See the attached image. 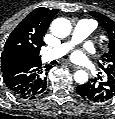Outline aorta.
<instances>
[{
  "label": "aorta",
  "instance_id": "obj_1",
  "mask_svg": "<svg viewBox=\"0 0 115 119\" xmlns=\"http://www.w3.org/2000/svg\"><path fill=\"white\" fill-rule=\"evenodd\" d=\"M51 32L53 35L64 38L71 32V25L68 20L64 18H58L51 24ZM74 79L79 84H85L88 81V74L85 71H77L74 74Z\"/></svg>",
  "mask_w": 115,
  "mask_h": 119
}]
</instances>
